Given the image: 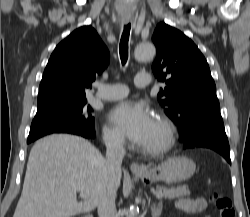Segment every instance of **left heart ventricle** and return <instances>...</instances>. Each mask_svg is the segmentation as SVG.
Returning a JSON list of instances; mask_svg holds the SVG:
<instances>
[{
	"label": "left heart ventricle",
	"instance_id": "left-heart-ventricle-1",
	"mask_svg": "<svg viewBox=\"0 0 250 217\" xmlns=\"http://www.w3.org/2000/svg\"><path fill=\"white\" fill-rule=\"evenodd\" d=\"M164 139V131L157 119H154L152 128L147 136L143 147H155L159 145Z\"/></svg>",
	"mask_w": 250,
	"mask_h": 217
}]
</instances>
